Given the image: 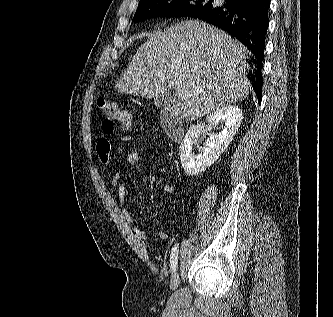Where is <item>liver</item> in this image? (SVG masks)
Segmentation results:
<instances>
[{"mask_svg":"<svg viewBox=\"0 0 333 317\" xmlns=\"http://www.w3.org/2000/svg\"><path fill=\"white\" fill-rule=\"evenodd\" d=\"M248 50L222 30L198 20H185L153 33L133 56L116 88L145 98L167 96L180 86L184 98L170 112L193 121L245 99Z\"/></svg>","mask_w":333,"mask_h":317,"instance_id":"6515ba94","label":"liver"}]
</instances>
